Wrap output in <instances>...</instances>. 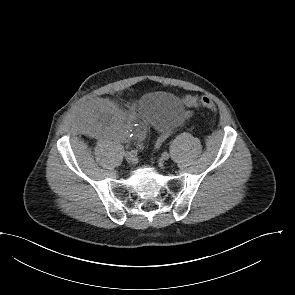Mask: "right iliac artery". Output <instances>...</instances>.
Here are the masks:
<instances>
[{"label": "right iliac artery", "instance_id": "right-iliac-artery-1", "mask_svg": "<svg viewBox=\"0 0 295 295\" xmlns=\"http://www.w3.org/2000/svg\"><path fill=\"white\" fill-rule=\"evenodd\" d=\"M129 153L133 156H135L137 154V152L135 150H131Z\"/></svg>", "mask_w": 295, "mask_h": 295}]
</instances>
